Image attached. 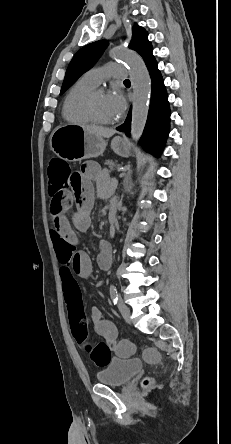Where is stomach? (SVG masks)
<instances>
[{
    "label": "stomach",
    "instance_id": "stomach-1",
    "mask_svg": "<svg viewBox=\"0 0 231 444\" xmlns=\"http://www.w3.org/2000/svg\"><path fill=\"white\" fill-rule=\"evenodd\" d=\"M106 141L79 125H60L50 137V147L60 158L68 161L94 158L103 154ZM112 150L120 155L127 156L130 152L126 138L117 136L111 141Z\"/></svg>",
    "mask_w": 231,
    "mask_h": 444
}]
</instances>
